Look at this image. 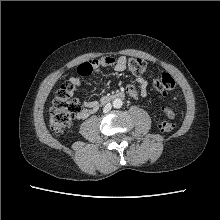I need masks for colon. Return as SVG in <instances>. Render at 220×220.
<instances>
[{"mask_svg":"<svg viewBox=\"0 0 220 220\" xmlns=\"http://www.w3.org/2000/svg\"><path fill=\"white\" fill-rule=\"evenodd\" d=\"M129 70L137 76L143 75L148 64L141 58L131 57L126 60ZM91 73V68L86 69V74ZM154 86L159 92H169L175 89L176 82L168 73H163L154 81ZM78 110V99L75 97L74 86L70 81L64 82L56 91L53 105L50 111V125L55 133L66 131L72 124ZM161 113L165 120L160 123L162 132H171L174 124L171 119L174 111L170 107H164Z\"/></svg>","mask_w":220,"mask_h":220,"instance_id":"colon-1","label":"colon"}]
</instances>
